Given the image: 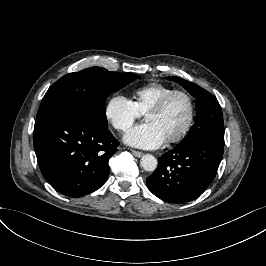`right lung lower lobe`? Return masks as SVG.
<instances>
[{
    "mask_svg": "<svg viewBox=\"0 0 266 266\" xmlns=\"http://www.w3.org/2000/svg\"><path fill=\"white\" fill-rule=\"evenodd\" d=\"M33 142L46 181L70 197L90 194L105 183L108 161L119 145L108 128L65 109L36 119Z\"/></svg>",
    "mask_w": 266,
    "mask_h": 266,
    "instance_id": "obj_1",
    "label": "right lung lower lobe"
}]
</instances>
